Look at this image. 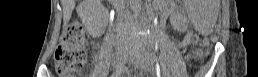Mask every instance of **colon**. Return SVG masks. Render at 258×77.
<instances>
[{
  "instance_id": "1",
  "label": "colon",
  "mask_w": 258,
  "mask_h": 77,
  "mask_svg": "<svg viewBox=\"0 0 258 77\" xmlns=\"http://www.w3.org/2000/svg\"><path fill=\"white\" fill-rule=\"evenodd\" d=\"M54 60L56 71L60 76L71 77L82 74L86 52L83 30L79 23H72L64 30Z\"/></svg>"
}]
</instances>
